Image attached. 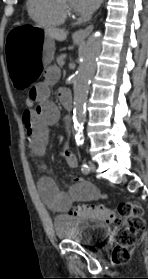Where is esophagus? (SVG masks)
<instances>
[{
  "mask_svg": "<svg viewBox=\"0 0 148 279\" xmlns=\"http://www.w3.org/2000/svg\"><path fill=\"white\" fill-rule=\"evenodd\" d=\"M93 28H94V25L90 24L87 27H85L84 29H80V30L75 31L73 33V37L76 40L83 41L89 36V34L92 32Z\"/></svg>",
  "mask_w": 148,
  "mask_h": 279,
  "instance_id": "obj_1",
  "label": "esophagus"
}]
</instances>
